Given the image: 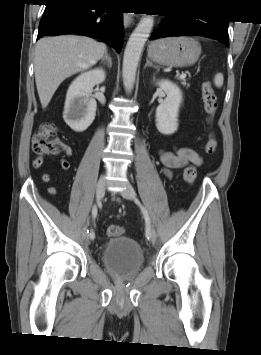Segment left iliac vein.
Wrapping results in <instances>:
<instances>
[{
	"instance_id": "1",
	"label": "left iliac vein",
	"mask_w": 261,
	"mask_h": 355,
	"mask_svg": "<svg viewBox=\"0 0 261 355\" xmlns=\"http://www.w3.org/2000/svg\"><path fill=\"white\" fill-rule=\"evenodd\" d=\"M121 196L128 200L135 199V191L130 184H127L126 189L120 192ZM151 241L154 243L156 241V233L152 231V239Z\"/></svg>"
}]
</instances>
